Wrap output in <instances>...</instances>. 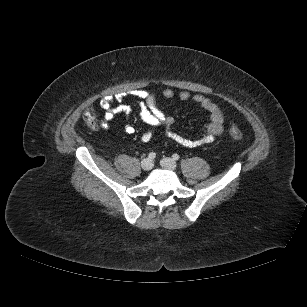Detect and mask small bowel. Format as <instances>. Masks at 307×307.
<instances>
[{
    "label": "small bowel",
    "mask_w": 307,
    "mask_h": 307,
    "mask_svg": "<svg viewBox=\"0 0 307 307\" xmlns=\"http://www.w3.org/2000/svg\"><path fill=\"white\" fill-rule=\"evenodd\" d=\"M140 99L139 114L140 118L146 125L152 127H165V134L168 138L179 143L185 147H201L205 146L215 140V138L222 134L224 116L222 111L211 99L197 94L193 97L188 91H181L179 98L182 101L192 99L200 108L209 116V122L206 124L202 135L196 139L187 138L174 130V119L166 116L163 111L157 106L156 95L147 91H139L136 94ZM164 98L174 97V92L171 89H166L162 92ZM121 99V97H119ZM100 107L104 110V118L99 126L107 129L109 123L119 113L129 114L130 108L126 105L113 106V98L111 96L104 97L99 102ZM97 125L93 126L96 128ZM125 131L128 134H133L135 128L131 124L125 126Z\"/></svg>",
    "instance_id": "c3829d8e"
}]
</instances>
